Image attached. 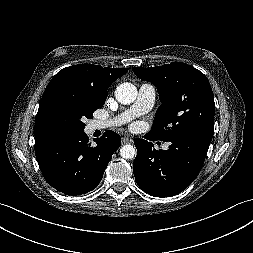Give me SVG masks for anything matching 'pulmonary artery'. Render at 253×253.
Instances as JSON below:
<instances>
[{
  "label": "pulmonary artery",
  "instance_id": "1",
  "mask_svg": "<svg viewBox=\"0 0 253 253\" xmlns=\"http://www.w3.org/2000/svg\"><path fill=\"white\" fill-rule=\"evenodd\" d=\"M155 98V87L150 83H143L139 87L135 103L128 110L107 121H94L92 127L94 129H105L122 125L139 115L149 112L154 106ZM163 148L167 149L168 145H164Z\"/></svg>",
  "mask_w": 253,
  "mask_h": 253
}]
</instances>
